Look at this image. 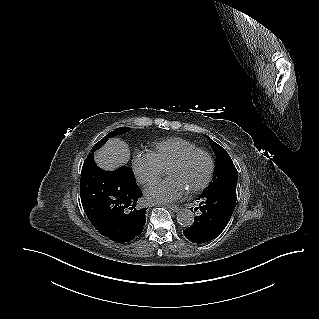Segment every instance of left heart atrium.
I'll return each instance as SVG.
<instances>
[{"mask_svg":"<svg viewBox=\"0 0 319 319\" xmlns=\"http://www.w3.org/2000/svg\"><path fill=\"white\" fill-rule=\"evenodd\" d=\"M187 192V187L179 179L168 178L145 190L148 203H170L179 200Z\"/></svg>","mask_w":319,"mask_h":319,"instance_id":"left-heart-atrium-1","label":"left heart atrium"}]
</instances>
